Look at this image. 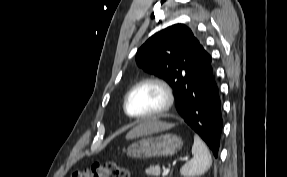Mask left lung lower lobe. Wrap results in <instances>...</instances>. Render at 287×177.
<instances>
[{
    "label": "left lung lower lobe",
    "mask_w": 287,
    "mask_h": 177,
    "mask_svg": "<svg viewBox=\"0 0 287 177\" xmlns=\"http://www.w3.org/2000/svg\"><path fill=\"white\" fill-rule=\"evenodd\" d=\"M182 97L180 103L176 105L178 113L217 157L223 122L212 58L186 87Z\"/></svg>",
    "instance_id": "0a47b994"
}]
</instances>
